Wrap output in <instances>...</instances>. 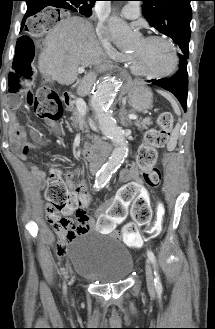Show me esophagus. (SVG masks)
<instances>
[{"mask_svg": "<svg viewBox=\"0 0 215 329\" xmlns=\"http://www.w3.org/2000/svg\"><path fill=\"white\" fill-rule=\"evenodd\" d=\"M122 73L124 74V76L129 79V77L127 76L126 72L125 71H122Z\"/></svg>", "mask_w": 215, "mask_h": 329, "instance_id": "obj_1", "label": "esophagus"}]
</instances>
